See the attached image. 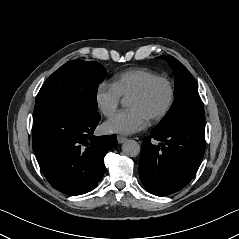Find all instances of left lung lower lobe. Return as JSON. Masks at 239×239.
Masks as SVG:
<instances>
[{
	"label": "left lung lower lobe",
	"mask_w": 239,
	"mask_h": 239,
	"mask_svg": "<svg viewBox=\"0 0 239 239\" xmlns=\"http://www.w3.org/2000/svg\"><path fill=\"white\" fill-rule=\"evenodd\" d=\"M151 139L160 141L153 145ZM205 152V123L185 120L163 131H152L141 149L139 175L145 188L157 196L184 188L196 174Z\"/></svg>",
	"instance_id": "left-lung-lower-lobe-1"
}]
</instances>
